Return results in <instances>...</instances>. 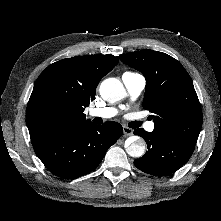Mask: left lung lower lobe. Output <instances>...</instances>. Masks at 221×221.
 Returning a JSON list of instances; mask_svg holds the SVG:
<instances>
[{"label":"left lung lower lobe","mask_w":221,"mask_h":221,"mask_svg":"<svg viewBox=\"0 0 221 221\" xmlns=\"http://www.w3.org/2000/svg\"><path fill=\"white\" fill-rule=\"evenodd\" d=\"M134 134L142 136L148 145L145 155L134 161L141 171L164 176L177 171L191 157L195 145L169 138L163 134L147 132L144 129L134 130Z\"/></svg>","instance_id":"left-lung-lower-lobe-1"}]
</instances>
